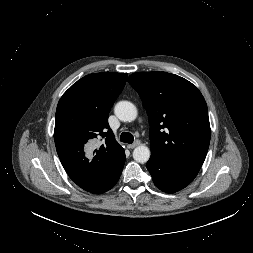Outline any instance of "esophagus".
Wrapping results in <instances>:
<instances>
[{
	"label": "esophagus",
	"mask_w": 253,
	"mask_h": 253,
	"mask_svg": "<svg viewBox=\"0 0 253 253\" xmlns=\"http://www.w3.org/2000/svg\"><path fill=\"white\" fill-rule=\"evenodd\" d=\"M140 143L141 142L139 140H136L133 144H129L128 148L133 149V148L137 147L138 145H140Z\"/></svg>",
	"instance_id": "esophagus-1"
}]
</instances>
